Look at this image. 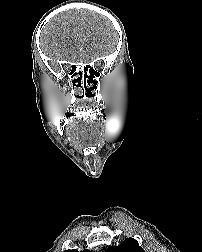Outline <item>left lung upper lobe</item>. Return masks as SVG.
<instances>
[{"instance_id":"left-lung-upper-lobe-1","label":"left lung upper lobe","mask_w":202,"mask_h":252,"mask_svg":"<svg viewBox=\"0 0 202 252\" xmlns=\"http://www.w3.org/2000/svg\"><path fill=\"white\" fill-rule=\"evenodd\" d=\"M105 252H145L133 238H127L121 245L109 247Z\"/></svg>"}]
</instances>
